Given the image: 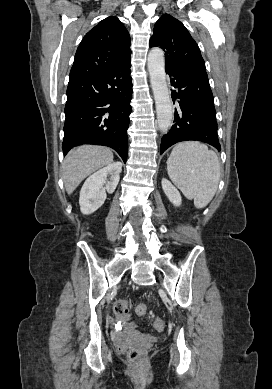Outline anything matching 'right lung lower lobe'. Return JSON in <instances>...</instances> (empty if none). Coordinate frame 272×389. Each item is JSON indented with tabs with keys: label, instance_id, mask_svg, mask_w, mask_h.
Returning <instances> with one entry per match:
<instances>
[{
	"label": "right lung lower lobe",
	"instance_id": "1",
	"mask_svg": "<svg viewBox=\"0 0 272 389\" xmlns=\"http://www.w3.org/2000/svg\"><path fill=\"white\" fill-rule=\"evenodd\" d=\"M130 59L100 73L70 78L65 105L63 152L79 144L116 150L127 160L132 78Z\"/></svg>",
	"mask_w": 272,
	"mask_h": 389
}]
</instances>
